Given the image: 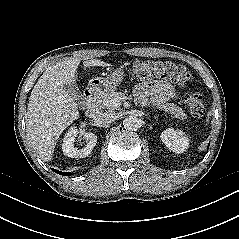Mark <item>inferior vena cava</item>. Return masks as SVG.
<instances>
[{
	"mask_svg": "<svg viewBox=\"0 0 239 239\" xmlns=\"http://www.w3.org/2000/svg\"><path fill=\"white\" fill-rule=\"evenodd\" d=\"M116 114L114 112H109V113H103L98 115L97 117V121H99L100 123H112L116 120Z\"/></svg>",
	"mask_w": 239,
	"mask_h": 239,
	"instance_id": "obj_1",
	"label": "inferior vena cava"
}]
</instances>
